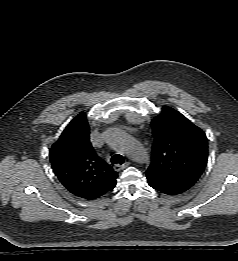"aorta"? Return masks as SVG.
I'll return each instance as SVG.
<instances>
[{
    "label": "aorta",
    "mask_w": 238,
    "mask_h": 261,
    "mask_svg": "<svg viewBox=\"0 0 238 261\" xmlns=\"http://www.w3.org/2000/svg\"><path fill=\"white\" fill-rule=\"evenodd\" d=\"M110 141L118 144L121 151L135 161L143 162L148 159L145 149L121 129L110 130Z\"/></svg>",
    "instance_id": "762f6f07"
}]
</instances>
